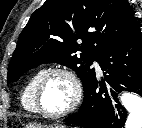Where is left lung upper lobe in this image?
<instances>
[{
    "instance_id": "1",
    "label": "left lung upper lobe",
    "mask_w": 142,
    "mask_h": 128,
    "mask_svg": "<svg viewBox=\"0 0 142 128\" xmlns=\"http://www.w3.org/2000/svg\"><path fill=\"white\" fill-rule=\"evenodd\" d=\"M138 27L127 0H47L19 36L8 82L42 63L56 62L75 70L85 89L95 74L92 62Z\"/></svg>"
}]
</instances>
